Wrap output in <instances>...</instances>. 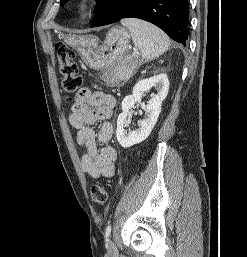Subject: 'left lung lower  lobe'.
Masks as SVG:
<instances>
[{"mask_svg":"<svg viewBox=\"0 0 247 257\" xmlns=\"http://www.w3.org/2000/svg\"><path fill=\"white\" fill-rule=\"evenodd\" d=\"M129 17L151 22L173 40L186 45L188 0H105L96 10L91 27L111 24Z\"/></svg>","mask_w":247,"mask_h":257,"instance_id":"1","label":"left lung lower lobe"}]
</instances>
